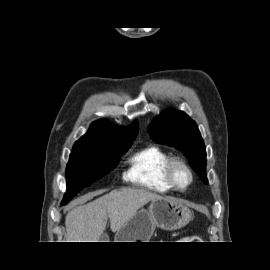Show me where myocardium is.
I'll return each instance as SVG.
<instances>
[{"label":"myocardium","instance_id":"f54148a6","mask_svg":"<svg viewBox=\"0 0 270 270\" xmlns=\"http://www.w3.org/2000/svg\"><path fill=\"white\" fill-rule=\"evenodd\" d=\"M178 168H182L188 174L189 179L185 185H180L176 179V170ZM165 175L168 183L173 187V189L180 192L186 191L192 185L194 180V174L191 167L185 160L179 157L170 158L166 165Z\"/></svg>","mask_w":270,"mask_h":270}]
</instances>
